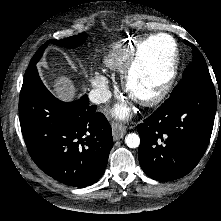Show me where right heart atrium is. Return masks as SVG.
Here are the masks:
<instances>
[{"label":"right heart atrium","mask_w":221,"mask_h":221,"mask_svg":"<svg viewBox=\"0 0 221 221\" xmlns=\"http://www.w3.org/2000/svg\"><path fill=\"white\" fill-rule=\"evenodd\" d=\"M92 82L96 85L102 84L106 81L105 77L102 74L96 73L91 78Z\"/></svg>","instance_id":"right-heart-atrium-1"}]
</instances>
